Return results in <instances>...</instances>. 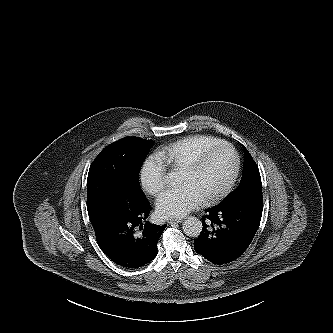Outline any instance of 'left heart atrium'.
<instances>
[{"mask_svg": "<svg viewBox=\"0 0 333 333\" xmlns=\"http://www.w3.org/2000/svg\"><path fill=\"white\" fill-rule=\"evenodd\" d=\"M204 198L191 185L182 184L162 193L157 199V212L163 217H182L197 208Z\"/></svg>", "mask_w": 333, "mask_h": 333, "instance_id": "obj_1", "label": "left heart atrium"}]
</instances>
